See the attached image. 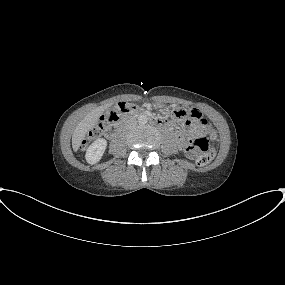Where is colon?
<instances>
[{"instance_id": "1", "label": "colon", "mask_w": 285, "mask_h": 285, "mask_svg": "<svg viewBox=\"0 0 285 285\" xmlns=\"http://www.w3.org/2000/svg\"><path fill=\"white\" fill-rule=\"evenodd\" d=\"M133 108L134 104L127 101L117 103L115 108L109 111L105 117H102L96 127L88 132L86 138L81 143L82 148H85L89 141L100 136L109 124L117 122L122 114L130 112ZM173 116L178 121H184L188 117L192 118L191 111L182 107L174 108ZM186 149L189 152L196 151L199 153L197 164L201 167L209 165L215 156V150L209 144L208 139L204 136L197 135L194 129H191L188 134Z\"/></svg>"}]
</instances>
